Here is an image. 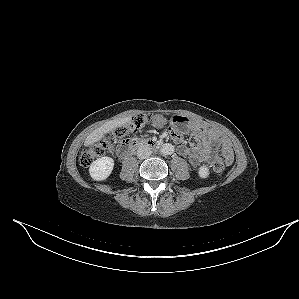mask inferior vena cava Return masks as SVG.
<instances>
[{
    "label": "inferior vena cava",
    "instance_id": "602c4592",
    "mask_svg": "<svg viewBox=\"0 0 299 299\" xmlns=\"http://www.w3.org/2000/svg\"><path fill=\"white\" fill-rule=\"evenodd\" d=\"M152 154L151 148L148 145H141L137 150V157L139 159H146Z\"/></svg>",
    "mask_w": 299,
    "mask_h": 299
}]
</instances>
